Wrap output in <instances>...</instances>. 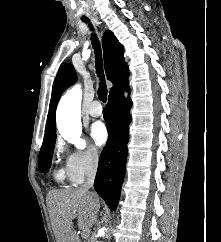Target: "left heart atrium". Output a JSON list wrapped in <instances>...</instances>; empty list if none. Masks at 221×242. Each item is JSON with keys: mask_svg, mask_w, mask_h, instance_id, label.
<instances>
[{"mask_svg": "<svg viewBox=\"0 0 221 242\" xmlns=\"http://www.w3.org/2000/svg\"><path fill=\"white\" fill-rule=\"evenodd\" d=\"M91 136L96 144L103 145L108 139V130L102 122H96L91 127Z\"/></svg>", "mask_w": 221, "mask_h": 242, "instance_id": "39dd6f15", "label": "left heart atrium"}]
</instances>
